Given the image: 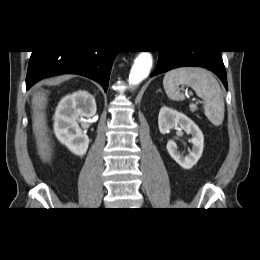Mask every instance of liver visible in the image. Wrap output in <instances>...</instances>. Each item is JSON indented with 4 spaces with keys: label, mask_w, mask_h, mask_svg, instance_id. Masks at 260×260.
Listing matches in <instances>:
<instances>
[{
    "label": "liver",
    "mask_w": 260,
    "mask_h": 260,
    "mask_svg": "<svg viewBox=\"0 0 260 260\" xmlns=\"http://www.w3.org/2000/svg\"><path fill=\"white\" fill-rule=\"evenodd\" d=\"M71 75H64L56 78L49 84H59L70 79ZM47 104V94L44 91H37L32 98L33 109V132L36 138L38 154L43 161H48L51 156L50 139L46 125L45 107Z\"/></svg>",
    "instance_id": "liver-1"
}]
</instances>
